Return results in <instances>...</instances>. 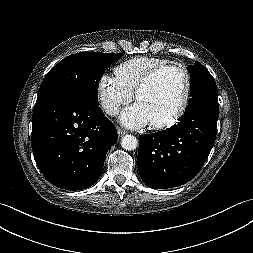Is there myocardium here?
<instances>
[{"instance_id":"obj_1","label":"myocardium","mask_w":253,"mask_h":253,"mask_svg":"<svg viewBox=\"0 0 253 253\" xmlns=\"http://www.w3.org/2000/svg\"><path fill=\"white\" fill-rule=\"evenodd\" d=\"M169 70H176L181 73L184 81V90H183V96L181 105L178 109V111L170 118L158 121V122H151V126L155 129H167L175 124H177L186 114L189 102H190V96H191V74L188 70V68L180 63H168L165 65L158 66L156 68H153L150 70L139 82L137 85L135 92H134V100L137 101L139 95L146 90L152 82L162 73L169 71Z\"/></svg>"}]
</instances>
